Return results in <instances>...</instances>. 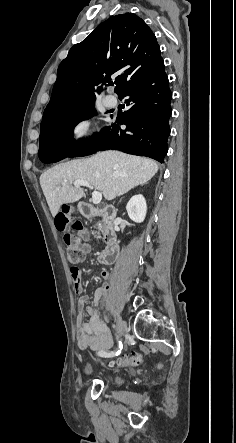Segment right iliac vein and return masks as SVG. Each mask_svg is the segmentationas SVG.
<instances>
[{"label": "right iliac vein", "mask_w": 236, "mask_h": 443, "mask_svg": "<svg viewBox=\"0 0 236 443\" xmlns=\"http://www.w3.org/2000/svg\"><path fill=\"white\" fill-rule=\"evenodd\" d=\"M126 330V322L122 319H119L116 325L117 338L119 339Z\"/></svg>", "instance_id": "obj_1"}]
</instances>
